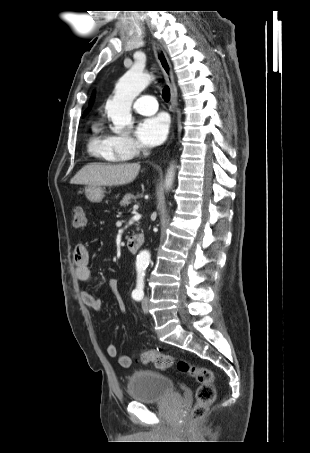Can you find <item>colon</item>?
<instances>
[{"label":"colon","mask_w":310,"mask_h":453,"mask_svg":"<svg viewBox=\"0 0 310 453\" xmlns=\"http://www.w3.org/2000/svg\"><path fill=\"white\" fill-rule=\"evenodd\" d=\"M85 224V211L80 207H76L73 211V225L81 228ZM140 360L144 364H153L160 370L176 367L179 372L194 378L199 386L196 390V401L191 410L189 421L190 423H196L204 418L216 397L214 374L210 369L191 364L184 359H178L170 354L157 350L141 351Z\"/></svg>","instance_id":"5ec220e1"}]
</instances>
